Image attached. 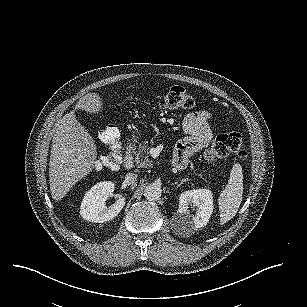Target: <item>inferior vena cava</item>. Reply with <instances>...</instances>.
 I'll return each mask as SVG.
<instances>
[{"instance_id":"obj_1","label":"inferior vena cava","mask_w":307,"mask_h":307,"mask_svg":"<svg viewBox=\"0 0 307 307\" xmlns=\"http://www.w3.org/2000/svg\"><path fill=\"white\" fill-rule=\"evenodd\" d=\"M138 174L136 173H127L124 179V182L127 185H131L137 182Z\"/></svg>"}]
</instances>
